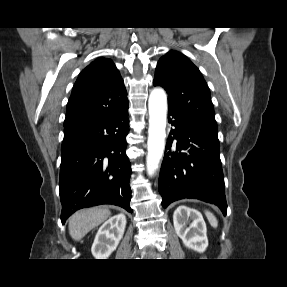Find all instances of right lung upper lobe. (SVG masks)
I'll use <instances>...</instances> for the list:
<instances>
[{"label": "right lung upper lobe", "instance_id": "1", "mask_svg": "<svg viewBox=\"0 0 287 287\" xmlns=\"http://www.w3.org/2000/svg\"><path fill=\"white\" fill-rule=\"evenodd\" d=\"M128 103L122 77L115 64L98 58L78 76L66 108L64 127L85 123Z\"/></svg>", "mask_w": 287, "mask_h": 287}]
</instances>
